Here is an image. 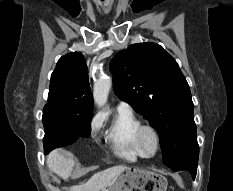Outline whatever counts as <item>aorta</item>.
I'll list each match as a JSON object with an SVG mask.
<instances>
[{"instance_id": "762f6f07", "label": "aorta", "mask_w": 233, "mask_h": 191, "mask_svg": "<svg viewBox=\"0 0 233 191\" xmlns=\"http://www.w3.org/2000/svg\"><path fill=\"white\" fill-rule=\"evenodd\" d=\"M112 80L108 76H101L94 82L93 97L98 107H103L108 98Z\"/></svg>"}]
</instances>
